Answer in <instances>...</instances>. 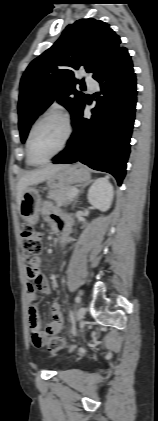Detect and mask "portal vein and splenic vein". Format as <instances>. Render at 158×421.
Wrapping results in <instances>:
<instances>
[{
    "label": "portal vein and splenic vein",
    "mask_w": 158,
    "mask_h": 421,
    "mask_svg": "<svg viewBox=\"0 0 158 421\" xmlns=\"http://www.w3.org/2000/svg\"><path fill=\"white\" fill-rule=\"evenodd\" d=\"M77 194H78V189L75 188V189L72 190V192L70 194V197L74 198Z\"/></svg>",
    "instance_id": "18ae733b"
}]
</instances>
